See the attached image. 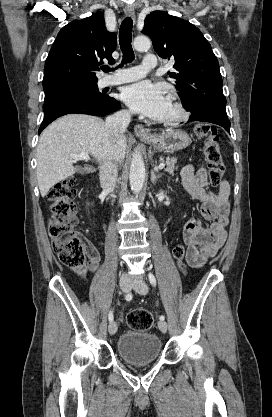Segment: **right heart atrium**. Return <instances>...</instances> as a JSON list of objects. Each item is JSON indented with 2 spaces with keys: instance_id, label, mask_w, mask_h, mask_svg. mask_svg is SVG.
I'll use <instances>...</instances> for the list:
<instances>
[{
  "instance_id": "d8ad5b80",
  "label": "right heart atrium",
  "mask_w": 272,
  "mask_h": 417,
  "mask_svg": "<svg viewBox=\"0 0 272 417\" xmlns=\"http://www.w3.org/2000/svg\"><path fill=\"white\" fill-rule=\"evenodd\" d=\"M124 114H128V111H126V110H125V111H124Z\"/></svg>"
}]
</instances>
